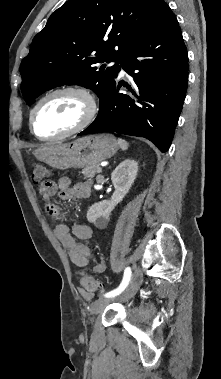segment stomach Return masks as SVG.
I'll use <instances>...</instances> for the list:
<instances>
[{"label": "stomach", "mask_w": 221, "mask_h": 379, "mask_svg": "<svg viewBox=\"0 0 221 379\" xmlns=\"http://www.w3.org/2000/svg\"><path fill=\"white\" fill-rule=\"evenodd\" d=\"M119 148L110 134L90 135L68 143H54L35 151V156L56 169L84 168L98 165Z\"/></svg>", "instance_id": "stomach-1"}]
</instances>
